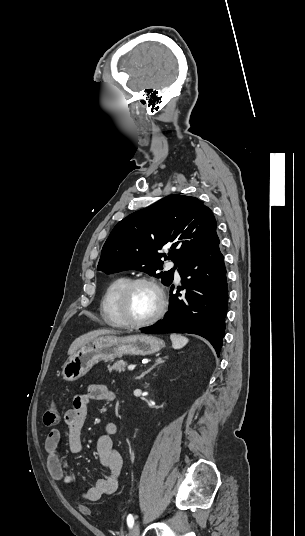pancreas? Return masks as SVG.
Listing matches in <instances>:
<instances>
[{
	"instance_id": "pancreas-1",
	"label": "pancreas",
	"mask_w": 305,
	"mask_h": 536,
	"mask_svg": "<svg viewBox=\"0 0 305 536\" xmlns=\"http://www.w3.org/2000/svg\"><path fill=\"white\" fill-rule=\"evenodd\" d=\"M125 366H127L126 362H123V360H120V362H115V364H112V366H107L109 372H112V370H115V372H124Z\"/></svg>"
}]
</instances>
